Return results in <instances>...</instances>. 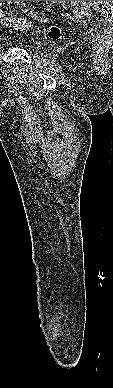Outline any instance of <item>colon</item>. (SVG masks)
I'll list each match as a JSON object with an SVG mask.
<instances>
[{
  "mask_svg": "<svg viewBox=\"0 0 113 388\" xmlns=\"http://www.w3.org/2000/svg\"><path fill=\"white\" fill-rule=\"evenodd\" d=\"M32 15L38 19H45L43 15L32 13ZM21 22V18L17 15H7L2 11L0 4V25L6 27H12ZM49 36L53 39H58L61 36V29L58 26H52L49 29Z\"/></svg>",
  "mask_w": 113,
  "mask_h": 388,
  "instance_id": "colon-1",
  "label": "colon"
}]
</instances>
